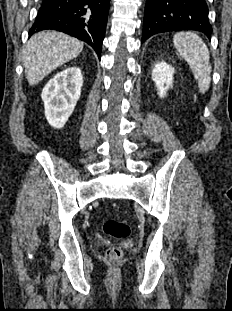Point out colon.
Returning a JSON list of instances; mask_svg holds the SVG:
<instances>
[{
  "label": "colon",
  "mask_w": 232,
  "mask_h": 311,
  "mask_svg": "<svg viewBox=\"0 0 232 311\" xmlns=\"http://www.w3.org/2000/svg\"><path fill=\"white\" fill-rule=\"evenodd\" d=\"M103 231L113 238H126L131 228L125 221L109 218L103 222ZM106 257L111 262H118L123 258V251L120 247H111L106 251Z\"/></svg>",
  "instance_id": "5ec220e1"
}]
</instances>
